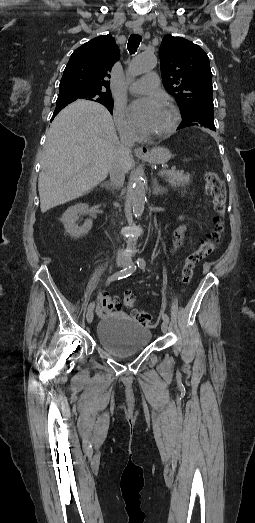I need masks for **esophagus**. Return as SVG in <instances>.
<instances>
[{"label":"esophagus","instance_id":"esophagus-1","mask_svg":"<svg viewBox=\"0 0 255 523\" xmlns=\"http://www.w3.org/2000/svg\"><path fill=\"white\" fill-rule=\"evenodd\" d=\"M134 32L136 34H141L142 28H134ZM134 153H135V155L144 158L149 155V149L146 146L137 147V148H135Z\"/></svg>","mask_w":255,"mask_h":523}]
</instances>
